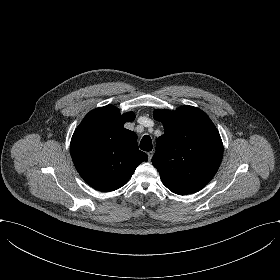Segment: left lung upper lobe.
Listing matches in <instances>:
<instances>
[{"label": "left lung upper lobe", "instance_id": "1", "mask_svg": "<svg viewBox=\"0 0 280 280\" xmlns=\"http://www.w3.org/2000/svg\"><path fill=\"white\" fill-rule=\"evenodd\" d=\"M153 115L164 126L152 158L163 184L179 195L199 191L222 160L223 144L215 125L205 112L188 105L172 112L155 110Z\"/></svg>", "mask_w": 280, "mask_h": 280}]
</instances>
